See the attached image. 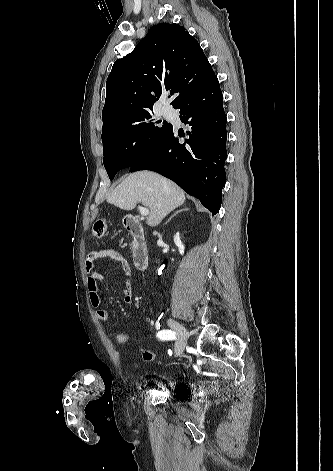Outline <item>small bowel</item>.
<instances>
[{
    "instance_id": "small-bowel-1",
    "label": "small bowel",
    "mask_w": 333,
    "mask_h": 471,
    "mask_svg": "<svg viewBox=\"0 0 333 471\" xmlns=\"http://www.w3.org/2000/svg\"><path fill=\"white\" fill-rule=\"evenodd\" d=\"M100 259H109L114 261L119 269L125 275V286L123 289V302L125 305H130L133 301V289L131 284V268L127 260L114 249H102L98 251H91L85 259V271L87 275V287L91 305L96 308V316L98 320L106 324L108 322V313L105 309L100 308L101 296L99 291V282L102 275L95 269V264ZM146 322L151 323L150 317L145 318Z\"/></svg>"
}]
</instances>
